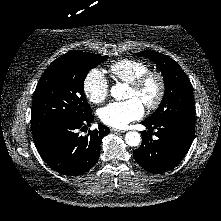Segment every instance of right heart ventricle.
<instances>
[{
    "label": "right heart ventricle",
    "mask_w": 221,
    "mask_h": 221,
    "mask_svg": "<svg viewBox=\"0 0 221 221\" xmlns=\"http://www.w3.org/2000/svg\"><path fill=\"white\" fill-rule=\"evenodd\" d=\"M148 70L146 63L135 59H121L109 66L114 79L128 84Z\"/></svg>",
    "instance_id": "1"
}]
</instances>
